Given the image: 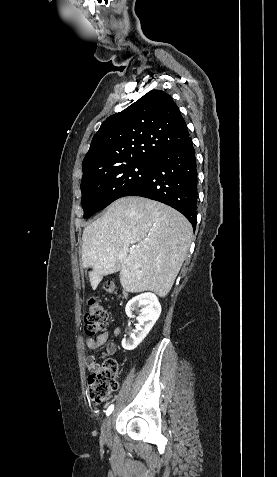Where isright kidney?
<instances>
[{
  "label": "right kidney",
  "mask_w": 277,
  "mask_h": 477,
  "mask_svg": "<svg viewBox=\"0 0 277 477\" xmlns=\"http://www.w3.org/2000/svg\"><path fill=\"white\" fill-rule=\"evenodd\" d=\"M126 314L129 318L134 317L133 312L138 311L136 318L138 324L136 330L129 338L122 340L125 350H134L147 336L161 314V305L153 293H142L133 297L126 305Z\"/></svg>",
  "instance_id": "right-kidney-1"
}]
</instances>
